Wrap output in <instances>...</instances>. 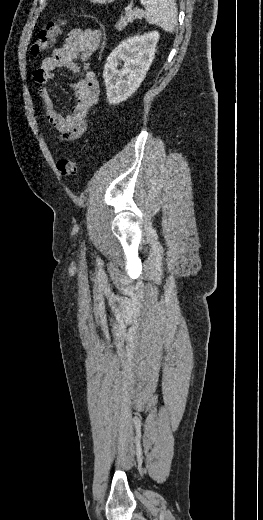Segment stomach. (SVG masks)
Returning <instances> with one entry per match:
<instances>
[{
	"label": "stomach",
	"instance_id": "0dacf381",
	"mask_svg": "<svg viewBox=\"0 0 263 520\" xmlns=\"http://www.w3.org/2000/svg\"><path fill=\"white\" fill-rule=\"evenodd\" d=\"M113 1L114 0H90V2H92L94 4H106V3H111Z\"/></svg>",
	"mask_w": 263,
	"mask_h": 520
}]
</instances>
